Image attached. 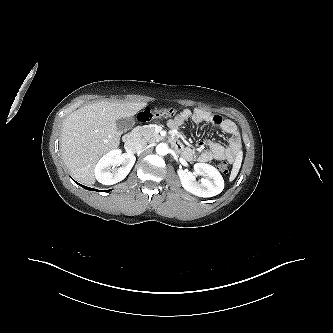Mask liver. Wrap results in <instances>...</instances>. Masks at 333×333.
Returning <instances> with one entry per match:
<instances>
[{"mask_svg":"<svg viewBox=\"0 0 333 333\" xmlns=\"http://www.w3.org/2000/svg\"><path fill=\"white\" fill-rule=\"evenodd\" d=\"M146 106V102L99 101L81 107L64 120L62 159L77 181L95 183L98 160L119 146L121 132L116 127L117 119L133 116Z\"/></svg>","mask_w":333,"mask_h":333,"instance_id":"obj_1","label":"liver"}]
</instances>
